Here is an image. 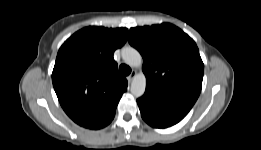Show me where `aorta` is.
I'll list each match as a JSON object with an SVG mask.
<instances>
[{
	"mask_svg": "<svg viewBox=\"0 0 261 150\" xmlns=\"http://www.w3.org/2000/svg\"><path fill=\"white\" fill-rule=\"evenodd\" d=\"M122 58L124 62L131 67H139L142 64V56L133 47H124L122 49ZM146 89V77L144 74L136 75L131 83V94L135 97H141Z\"/></svg>",
	"mask_w": 261,
	"mask_h": 150,
	"instance_id": "aorta-1",
	"label": "aorta"
}]
</instances>
